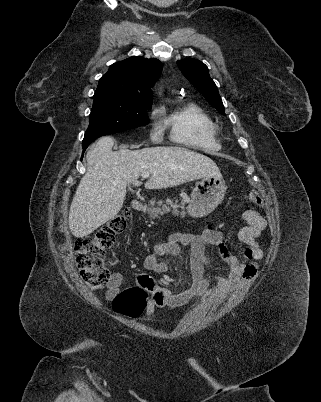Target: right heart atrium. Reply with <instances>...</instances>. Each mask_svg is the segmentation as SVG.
I'll list each match as a JSON object with an SVG mask.
<instances>
[{"label":"right heart atrium","mask_w":321,"mask_h":402,"mask_svg":"<svg viewBox=\"0 0 321 402\" xmlns=\"http://www.w3.org/2000/svg\"><path fill=\"white\" fill-rule=\"evenodd\" d=\"M157 115H158V110H156V109L153 110L152 113H151V116H152V117H156ZM153 135H154V138H155V139H159V138H160L159 133H154Z\"/></svg>","instance_id":"1"}]
</instances>
